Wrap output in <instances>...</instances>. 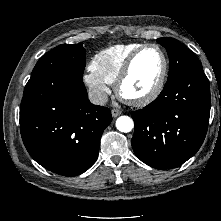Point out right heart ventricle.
I'll use <instances>...</instances> for the list:
<instances>
[{
    "label": "right heart ventricle",
    "instance_id": "1",
    "mask_svg": "<svg viewBox=\"0 0 221 221\" xmlns=\"http://www.w3.org/2000/svg\"><path fill=\"white\" fill-rule=\"evenodd\" d=\"M143 43L132 42L105 48L94 55L90 71L107 84H114L130 54Z\"/></svg>",
    "mask_w": 221,
    "mask_h": 221
}]
</instances>
